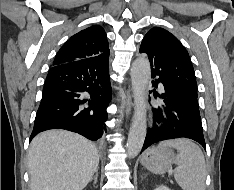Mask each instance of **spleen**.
Instances as JSON below:
<instances>
[{
	"label": "spleen",
	"instance_id": "3e777b00",
	"mask_svg": "<svg viewBox=\"0 0 234 190\" xmlns=\"http://www.w3.org/2000/svg\"><path fill=\"white\" fill-rule=\"evenodd\" d=\"M159 146L176 148L174 177L183 190H205L206 164L202 150L189 139L179 138L162 141Z\"/></svg>",
	"mask_w": 234,
	"mask_h": 190
}]
</instances>
